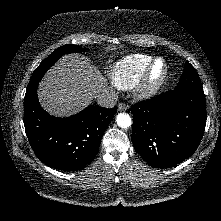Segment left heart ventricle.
<instances>
[{
	"label": "left heart ventricle",
	"mask_w": 221,
	"mask_h": 221,
	"mask_svg": "<svg viewBox=\"0 0 221 221\" xmlns=\"http://www.w3.org/2000/svg\"><path fill=\"white\" fill-rule=\"evenodd\" d=\"M162 70H163V64L161 62H158L153 69V74H152L153 78H157L161 74Z\"/></svg>",
	"instance_id": "b2bd125f"
}]
</instances>
